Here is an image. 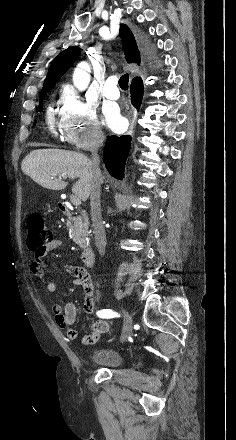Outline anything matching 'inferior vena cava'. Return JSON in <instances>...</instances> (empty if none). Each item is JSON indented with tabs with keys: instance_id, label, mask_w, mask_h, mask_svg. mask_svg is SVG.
<instances>
[{
	"instance_id": "inferior-vena-cava-1",
	"label": "inferior vena cava",
	"mask_w": 236,
	"mask_h": 440,
	"mask_svg": "<svg viewBox=\"0 0 236 440\" xmlns=\"http://www.w3.org/2000/svg\"><path fill=\"white\" fill-rule=\"evenodd\" d=\"M103 135L99 132H95L92 139V146L90 151L92 152V171H93V184L90 193V207L91 217L93 222V233L95 235V244L98 248L99 254H105L106 248V233L102 223L101 216V184L103 182L102 173L99 167V156L97 154L98 148L103 143Z\"/></svg>"
}]
</instances>
